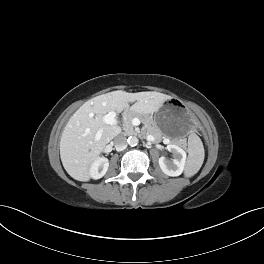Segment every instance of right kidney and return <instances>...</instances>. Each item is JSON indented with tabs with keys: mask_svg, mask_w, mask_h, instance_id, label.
<instances>
[{
	"mask_svg": "<svg viewBox=\"0 0 264 264\" xmlns=\"http://www.w3.org/2000/svg\"><path fill=\"white\" fill-rule=\"evenodd\" d=\"M109 167V161L105 157L98 158L95 160L90 167V175L93 179L102 178Z\"/></svg>",
	"mask_w": 264,
	"mask_h": 264,
	"instance_id": "right-kidney-1",
	"label": "right kidney"
}]
</instances>
